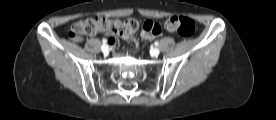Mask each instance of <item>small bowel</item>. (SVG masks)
Here are the masks:
<instances>
[{
  "label": "small bowel",
  "mask_w": 276,
  "mask_h": 120,
  "mask_svg": "<svg viewBox=\"0 0 276 120\" xmlns=\"http://www.w3.org/2000/svg\"><path fill=\"white\" fill-rule=\"evenodd\" d=\"M141 36H142V38L145 39V40H150V39H152V38L154 37V36H152V35H150V34H147L145 31L142 32ZM125 39H131V40L134 41V43H135L136 46L138 45L136 39H135L134 37H132V36H131V37H127V38H125ZM108 42H109L111 45H113V44L115 43V41H114L113 39H109Z\"/></svg>",
  "instance_id": "obj_1"
}]
</instances>
